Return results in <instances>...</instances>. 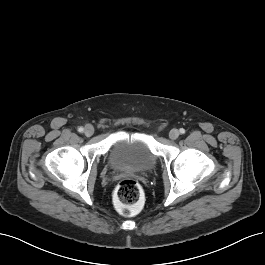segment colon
<instances>
[{
	"instance_id": "obj_1",
	"label": "colon",
	"mask_w": 265,
	"mask_h": 265,
	"mask_svg": "<svg viewBox=\"0 0 265 265\" xmlns=\"http://www.w3.org/2000/svg\"><path fill=\"white\" fill-rule=\"evenodd\" d=\"M143 192L138 182L132 179L120 181L115 189V200L123 214H130L142 201Z\"/></svg>"
}]
</instances>
